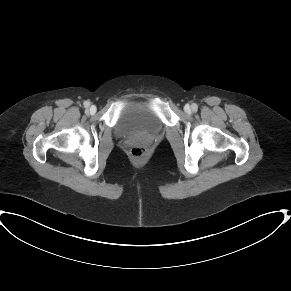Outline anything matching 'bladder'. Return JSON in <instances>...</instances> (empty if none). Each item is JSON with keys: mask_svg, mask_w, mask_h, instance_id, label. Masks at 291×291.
Returning a JSON list of instances; mask_svg holds the SVG:
<instances>
[{"mask_svg": "<svg viewBox=\"0 0 291 291\" xmlns=\"http://www.w3.org/2000/svg\"><path fill=\"white\" fill-rule=\"evenodd\" d=\"M162 127L153 107L134 102L127 103L115 121V132L121 138L156 134Z\"/></svg>", "mask_w": 291, "mask_h": 291, "instance_id": "31cf9c89", "label": "bladder"}]
</instances>
